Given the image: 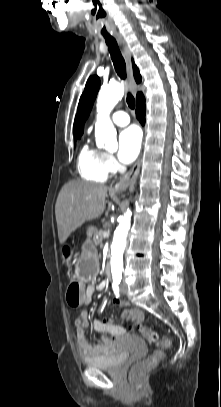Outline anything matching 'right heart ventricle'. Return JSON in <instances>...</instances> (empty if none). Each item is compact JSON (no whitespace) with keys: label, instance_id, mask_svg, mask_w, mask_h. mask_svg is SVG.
Listing matches in <instances>:
<instances>
[{"label":"right heart ventricle","instance_id":"1","mask_svg":"<svg viewBox=\"0 0 221 407\" xmlns=\"http://www.w3.org/2000/svg\"><path fill=\"white\" fill-rule=\"evenodd\" d=\"M77 168L81 177L89 181L104 182L108 176L104 166V153L88 145L79 154Z\"/></svg>","mask_w":221,"mask_h":407}]
</instances>
